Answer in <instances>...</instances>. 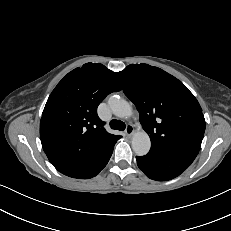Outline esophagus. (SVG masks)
Returning <instances> with one entry per match:
<instances>
[{"mask_svg":"<svg viewBox=\"0 0 231 231\" xmlns=\"http://www.w3.org/2000/svg\"><path fill=\"white\" fill-rule=\"evenodd\" d=\"M133 133H134V127L131 124L127 125L125 129L126 136L130 137L133 135Z\"/></svg>","mask_w":231,"mask_h":231,"instance_id":"esophagus-1","label":"esophagus"}]
</instances>
